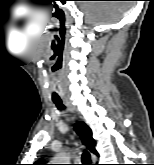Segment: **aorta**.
<instances>
[{
  "instance_id": "1",
  "label": "aorta",
  "mask_w": 154,
  "mask_h": 165,
  "mask_svg": "<svg viewBox=\"0 0 154 165\" xmlns=\"http://www.w3.org/2000/svg\"><path fill=\"white\" fill-rule=\"evenodd\" d=\"M55 164H67L69 162V157L65 153H59L53 158Z\"/></svg>"
}]
</instances>
